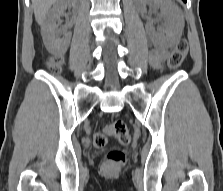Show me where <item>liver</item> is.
<instances>
[{
	"mask_svg": "<svg viewBox=\"0 0 223 191\" xmlns=\"http://www.w3.org/2000/svg\"><path fill=\"white\" fill-rule=\"evenodd\" d=\"M56 2L57 0H32L35 19L39 25L44 23L46 14L48 13L50 7Z\"/></svg>",
	"mask_w": 223,
	"mask_h": 191,
	"instance_id": "liver-1",
	"label": "liver"
}]
</instances>
